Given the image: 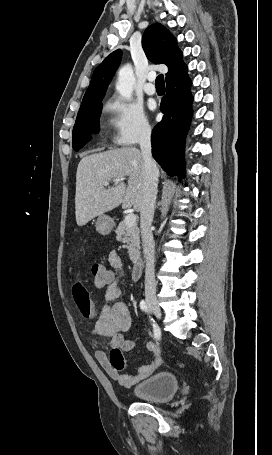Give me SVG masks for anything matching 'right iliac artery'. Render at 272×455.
I'll use <instances>...</instances> for the list:
<instances>
[{
  "instance_id": "1",
  "label": "right iliac artery",
  "mask_w": 272,
  "mask_h": 455,
  "mask_svg": "<svg viewBox=\"0 0 272 455\" xmlns=\"http://www.w3.org/2000/svg\"><path fill=\"white\" fill-rule=\"evenodd\" d=\"M140 308L142 311L144 312H147L148 311V307H147V304L144 300H141L140 302ZM151 322H152V326H153V331H154V336L155 338L159 339L160 336H161V332H160V329L159 327L157 326V324L155 323V321L153 320V318H150Z\"/></svg>"
}]
</instances>
